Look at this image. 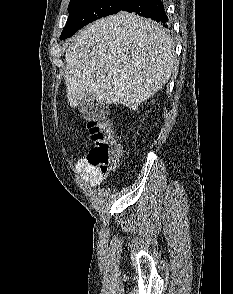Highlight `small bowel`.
Wrapping results in <instances>:
<instances>
[{"label":"small bowel","instance_id":"obj_1","mask_svg":"<svg viewBox=\"0 0 233 294\" xmlns=\"http://www.w3.org/2000/svg\"><path fill=\"white\" fill-rule=\"evenodd\" d=\"M77 167L82 171L83 175L88 179L91 185H98L102 181V174L90 166L85 158L78 161Z\"/></svg>","mask_w":233,"mask_h":294}]
</instances>
